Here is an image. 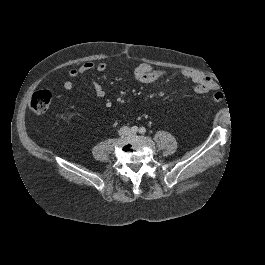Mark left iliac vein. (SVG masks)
<instances>
[{"label":"left iliac vein","mask_w":265,"mask_h":265,"mask_svg":"<svg viewBox=\"0 0 265 265\" xmlns=\"http://www.w3.org/2000/svg\"><path fill=\"white\" fill-rule=\"evenodd\" d=\"M129 135H131V136H135L136 133H135V132H131Z\"/></svg>","instance_id":"1"}]
</instances>
